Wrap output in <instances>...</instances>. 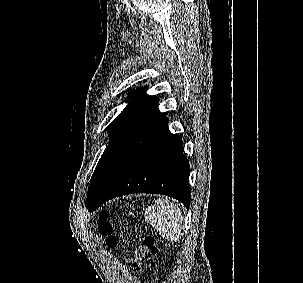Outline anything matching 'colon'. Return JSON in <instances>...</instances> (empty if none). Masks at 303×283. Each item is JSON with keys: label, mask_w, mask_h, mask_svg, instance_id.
<instances>
[{"label": "colon", "mask_w": 303, "mask_h": 283, "mask_svg": "<svg viewBox=\"0 0 303 283\" xmlns=\"http://www.w3.org/2000/svg\"><path fill=\"white\" fill-rule=\"evenodd\" d=\"M109 217L110 212L106 209L99 213L98 229L101 234L107 236L108 245L114 247L116 245V238L113 236V226ZM158 252L159 246L156 237L150 233H146L133 247L130 257L131 264L135 269H140L148 259L155 257Z\"/></svg>", "instance_id": "5ec220e1"}]
</instances>
